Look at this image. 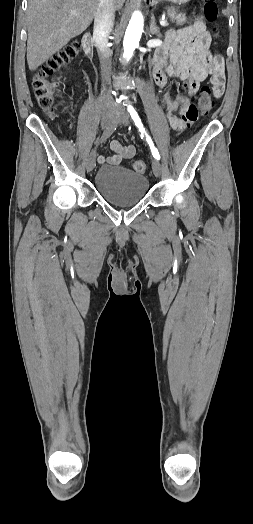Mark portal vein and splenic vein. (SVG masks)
I'll use <instances>...</instances> for the list:
<instances>
[{
	"label": "portal vein and splenic vein",
	"instance_id": "portal-vein-and-splenic-vein-1",
	"mask_svg": "<svg viewBox=\"0 0 253 524\" xmlns=\"http://www.w3.org/2000/svg\"><path fill=\"white\" fill-rule=\"evenodd\" d=\"M73 15H77V13H76V12H73ZM160 25H161V26H167L168 24H167V21H166L165 19H162V20L160 21Z\"/></svg>",
	"mask_w": 253,
	"mask_h": 524
}]
</instances>
